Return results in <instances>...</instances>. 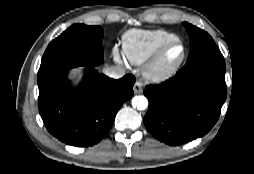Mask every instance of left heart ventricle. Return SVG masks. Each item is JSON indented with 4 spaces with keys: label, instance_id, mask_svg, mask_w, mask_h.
I'll return each instance as SVG.
<instances>
[{
    "label": "left heart ventricle",
    "instance_id": "1",
    "mask_svg": "<svg viewBox=\"0 0 254 174\" xmlns=\"http://www.w3.org/2000/svg\"><path fill=\"white\" fill-rule=\"evenodd\" d=\"M182 55V47L179 44H175L170 47L162 59V65L168 67L177 62Z\"/></svg>",
    "mask_w": 254,
    "mask_h": 174
}]
</instances>
